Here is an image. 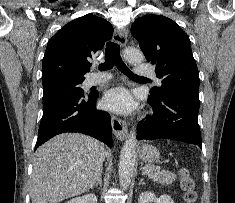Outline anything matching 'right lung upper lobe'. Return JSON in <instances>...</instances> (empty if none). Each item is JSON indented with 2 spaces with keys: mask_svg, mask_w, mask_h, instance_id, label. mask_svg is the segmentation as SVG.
I'll return each mask as SVG.
<instances>
[{
  "mask_svg": "<svg viewBox=\"0 0 235 203\" xmlns=\"http://www.w3.org/2000/svg\"><path fill=\"white\" fill-rule=\"evenodd\" d=\"M105 19L87 14L67 23L48 42L42 63V83L84 81L89 59L112 37Z\"/></svg>",
  "mask_w": 235,
  "mask_h": 203,
  "instance_id": "1",
  "label": "right lung upper lobe"
}]
</instances>
